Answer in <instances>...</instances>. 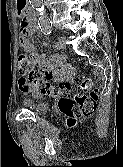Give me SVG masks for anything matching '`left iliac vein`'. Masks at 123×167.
<instances>
[{"instance_id":"1","label":"left iliac vein","mask_w":123,"mask_h":167,"mask_svg":"<svg viewBox=\"0 0 123 167\" xmlns=\"http://www.w3.org/2000/svg\"><path fill=\"white\" fill-rule=\"evenodd\" d=\"M59 48L65 49L66 48V39L64 37H60L58 40Z\"/></svg>"}]
</instances>
